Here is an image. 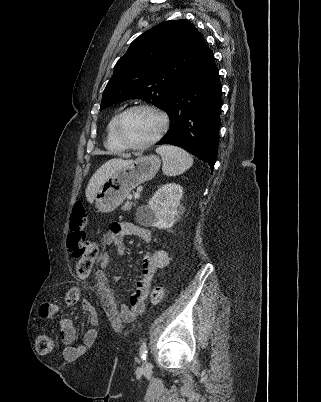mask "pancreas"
<instances>
[{"mask_svg": "<svg viewBox=\"0 0 321 402\" xmlns=\"http://www.w3.org/2000/svg\"><path fill=\"white\" fill-rule=\"evenodd\" d=\"M133 206H135V203H134V202H132V201H127V202H125V204L121 207V209H122L123 211H129V210H131V208H132Z\"/></svg>", "mask_w": 321, "mask_h": 402, "instance_id": "1", "label": "pancreas"}]
</instances>
